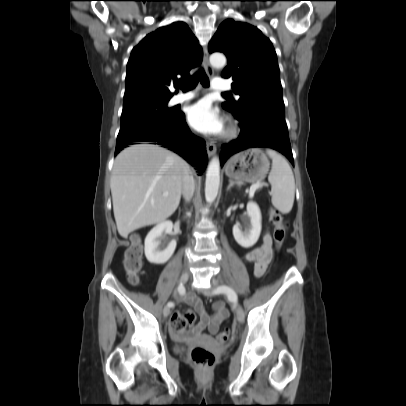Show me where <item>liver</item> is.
Masks as SVG:
<instances>
[{
  "label": "liver",
  "instance_id": "liver-1",
  "mask_svg": "<svg viewBox=\"0 0 406 406\" xmlns=\"http://www.w3.org/2000/svg\"><path fill=\"white\" fill-rule=\"evenodd\" d=\"M186 167L190 169L178 155L153 144L132 145L118 154L110 187L120 236L127 238L131 232L160 223L175 212ZM165 192L168 196L163 195Z\"/></svg>",
  "mask_w": 406,
  "mask_h": 406
}]
</instances>
